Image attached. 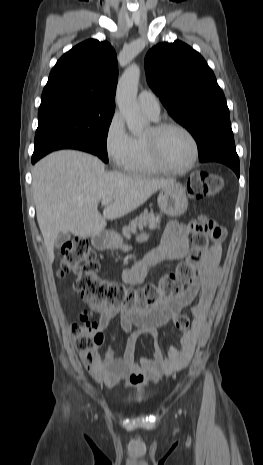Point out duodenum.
Here are the masks:
<instances>
[{
	"mask_svg": "<svg viewBox=\"0 0 263 465\" xmlns=\"http://www.w3.org/2000/svg\"><path fill=\"white\" fill-rule=\"evenodd\" d=\"M109 244V239L105 235H97L93 239V245L96 249L98 250H103L105 249Z\"/></svg>",
	"mask_w": 263,
	"mask_h": 465,
	"instance_id": "duodenum-1",
	"label": "duodenum"
}]
</instances>
